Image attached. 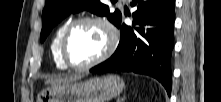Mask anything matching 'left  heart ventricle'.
Instances as JSON below:
<instances>
[{
	"instance_id": "obj_1",
	"label": "left heart ventricle",
	"mask_w": 221,
	"mask_h": 102,
	"mask_svg": "<svg viewBox=\"0 0 221 102\" xmlns=\"http://www.w3.org/2000/svg\"><path fill=\"white\" fill-rule=\"evenodd\" d=\"M105 31L96 24L81 23L69 34L66 53L73 64L83 65L97 58L105 49Z\"/></svg>"
}]
</instances>
